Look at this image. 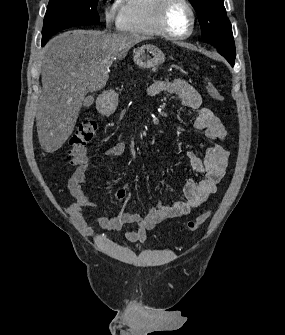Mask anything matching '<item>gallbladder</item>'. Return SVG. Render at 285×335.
I'll return each instance as SVG.
<instances>
[{"label": "gallbladder", "mask_w": 285, "mask_h": 335, "mask_svg": "<svg viewBox=\"0 0 285 335\" xmlns=\"http://www.w3.org/2000/svg\"><path fill=\"white\" fill-rule=\"evenodd\" d=\"M94 100L92 98V96H87V98H85L84 102H83V106H85V108H89V106H92Z\"/></svg>", "instance_id": "1"}]
</instances>
